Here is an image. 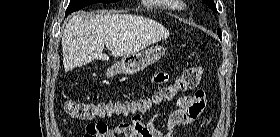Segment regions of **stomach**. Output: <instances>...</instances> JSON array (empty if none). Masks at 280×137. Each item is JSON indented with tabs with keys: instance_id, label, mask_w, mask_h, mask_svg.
<instances>
[{
	"instance_id": "1",
	"label": "stomach",
	"mask_w": 280,
	"mask_h": 137,
	"mask_svg": "<svg viewBox=\"0 0 280 137\" xmlns=\"http://www.w3.org/2000/svg\"><path fill=\"white\" fill-rule=\"evenodd\" d=\"M165 54V49L161 46H153L142 52L126 55L107 70L108 76L118 73L133 75L159 61Z\"/></svg>"
}]
</instances>
